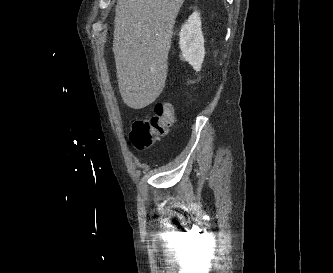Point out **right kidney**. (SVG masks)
<instances>
[{
	"label": "right kidney",
	"instance_id": "1",
	"mask_svg": "<svg viewBox=\"0 0 333 273\" xmlns=\"http://www.w3.org/2000/svg\"><path fill=\"white\" fill-rule=\"evenodd\" d=\"M179 46L182 51V57L196 71L201 69L204 56V38L201 31L200 15L194 12L182 26L180 31Z\"/></svg>",
	"mask_w": 333,
	"mask_h": 273
}]
</instances>
